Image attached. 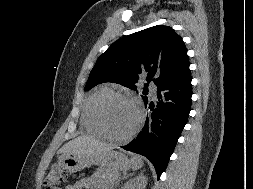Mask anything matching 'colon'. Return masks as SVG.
Segmentation results:
<instances>
[{
	"label": "colon",
	"instance_id": "5ec220e1",
	"mask_svg": "<svg viewBox=\"0 0 253 189\" xmlns=\"http://www.w3.org/2000/svg\"><path fill=\"white\" fill-rule=\"evenodd\" d=\"M65 173L58 166H53L47 174L45 180L46 189H59V185H61L65 181Z\"/></svg>",
	"mask_w": 253,
	"mask_h": 189
}]
</instances>
